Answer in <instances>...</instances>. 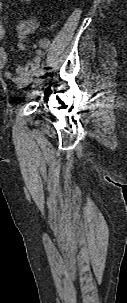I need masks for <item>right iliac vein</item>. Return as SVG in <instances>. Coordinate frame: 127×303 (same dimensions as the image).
Wrapping results in <instances>:
<instances>
[{
    "label": "right iliac vein",
    "instance_id": "1",
    "mask_svg": "<svg viewBox=\"0 0 127 303\" xmlns=\"http://www.w3.org/2000/svg\"><path fill=\"white\" fill-rule=\"evenodd\" d=\"M45 75L42 74L40 76H37V78L35 79L34 85L33 86H38L39 84H41L44 80H45Z\"/></svg>",
    "mask_w": 127,
    "mask_h": 303
}]
</instances>
